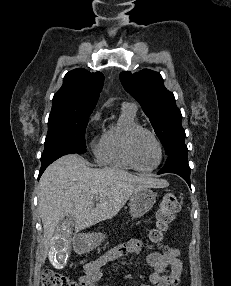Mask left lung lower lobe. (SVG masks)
Masks as SVG:
<instances>
[{
    "label": "left lung lower lobe",
    "instance_id": "left-lung-lower-lobe-1",
    "mask_svg": "<svg viewBox=\"0 0 231 286\" xmlns=\"http://www.w3.org/2000/svg\"><path fill=\"white\" fill-rule=\"evenodd\" d=\"M188 149L184 144L175 146L168 154L164 167L158 172L175 173L181 176L190 186V168L187 160Z\"/></svg>",
    "mask_w": 231,
    "mask_h": 286
}]
</instances>
